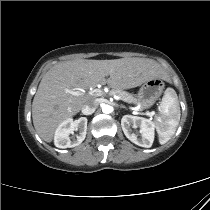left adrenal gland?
Segmentation results:
<instances>
[{
  "label": "left adrenal gland",
  "instance_id": "1",
  "mask_svg": "<svg viewBox=\"0 0 210 210\" xmlns=\"http://www.w3.org/2000/svg\"><path fill=\"white\" fill-rule=\"evenodd\" d=\"M122 108H126L125 106H121Z\"/></svg>",
  "mask_w": 210,
  "mask_h": 210
}]
</instances>
